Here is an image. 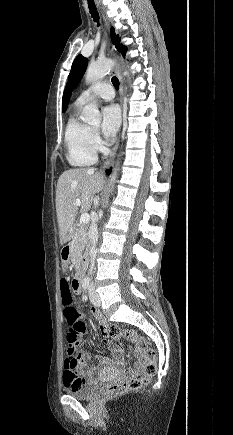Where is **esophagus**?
I'll use <instances>...</instances> for the list:
<instances>
[{
  "label": "esophagus",
  "instance_id": "34e87169",
  "mask_svg": "<svg viewBox=\"0 0 233 435\" xmlns=\"http://www.w3.org/2000/svg\"><path fill=\"white\" fill-rule=\"evenodd\" d=\"M103 18L105 20L106 23V29L109 32L110 31V26L107 22L106 17L103 15ZM112 57L114 60H116V55L114 52V49L112 48ZM114 74L118 77L119 82H120V90H119V94H120V103H121V107H122V114L124 116V103H123V93H124V84H123V78L120 72V69L118 66H115L113 69ZM119 147V139L117 140V143L115 144V146L112 148L111 152L109 153L108 157L106 158L104 165H103V169H107L113 162L116 154H117V150Z\"/></svg>",
  "mask_w": 233,
  "mask_h": 435
}]
</instances>
